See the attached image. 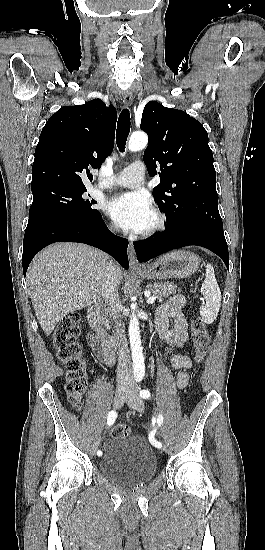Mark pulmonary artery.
Here are the masks:
<instances>
[{"instance_id": "pulmonary-artery-1", "label": "pulmonary artery", "mask_w": 265, "mask_h": 550, "mask_svg": "<svg viewBox=\"0 0 265 550\" xmlns=\"http://www.w3.org/2000/svg\"><path fill=\"white\" fill-rule=\"evenodd\" d=\"M145 175V166L140 161L132 162L108 186L136 188L142 184Z\"/></svg>"}]
</instances>
